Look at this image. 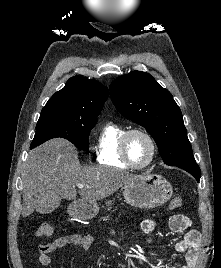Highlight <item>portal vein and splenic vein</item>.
Masks as SVG:
<instances>
[{"label":"portal vein and splenic vein","mask_w":221,"mask_h":268,"mask_svg":"<svg viewBox=\"0 0 221 268\" xmlns=\"http://www.w3.org/2000/svg\"><path fill=\"white\" fill-rule=\"evenodd\" d=\"M77 187L78 188H84V185L83 184H77Z\"/></svg>","instance_id":"1"}]
</instances>
